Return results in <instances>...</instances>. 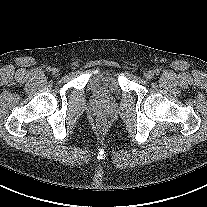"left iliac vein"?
Instances as JSON below:
<instances>
[{"label": "left iliac vein", "mask_w": 207, "mask_h": 207, "mask_svg": "<svg viewBox=\"0 0 207 207\" xmlns=\"http://www.w3.org/2000/svg\"><path fill=\"white\" fill-rule=\"evenodd\" d=\"M145 76H146L147 79L150 80L154 77V72L153 71H148Z\"/></svg>", "instance_id": "obj_1"}]
</instances>
